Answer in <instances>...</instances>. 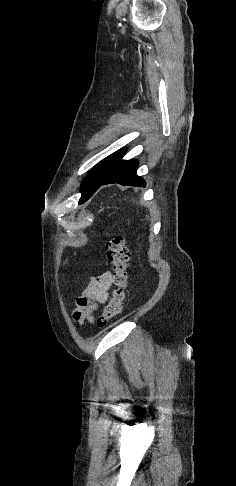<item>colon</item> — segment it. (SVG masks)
I'll use <instances>...</instances> for the list:
<instances>
[{
  "instance_id": "obj_1",
  "label": "colon",
  "mask_w": 236,
  "mask_h": 486,
  "mask_svg": "<svg viewBox=\"0 0 236 486\" xmlns=\"http://www.w3.org/2000/svg\"><path fill=\"white\" fill-rule=\"evenodd\" d=\"M106 248L108 262L113 268V283L115 289L108 304L97 319V324L100 327L108 324V322L119 315L123 309L128 280L127 268L130 259V253L126 247L125 240L119 234L114 235L107 242Z\"/></svg>"
}]
</instances>
